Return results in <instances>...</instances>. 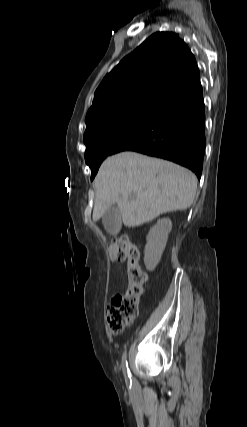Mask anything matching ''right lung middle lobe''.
<instances>
[{"label": "right lung middle lobe", "mask_w": 247, "mask_h": 427, "mask_svg": "<svg viewBox=\"0 0 247 427\" xmlns=\"http://www.w3.org/2000/svg\"><path fill=\"white\" fill-rule=\"evenodd\" d=\"M156 108V106L127 107L99 117L86 127L85 161L92 170L91 180L95 177L102 161L133 134Z\"/></svg>", "instance_id": "1"}]
</instances>
